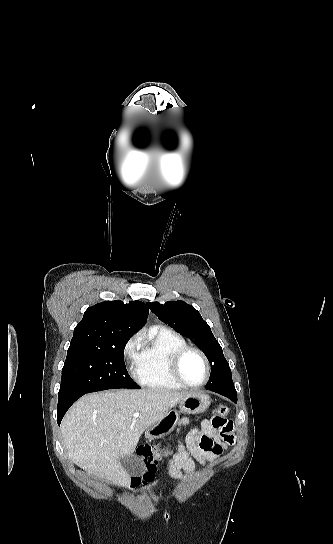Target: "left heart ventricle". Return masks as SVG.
<instances>
[{"label":"left heart ventricle","mask_w":333,"mask_h":544,"mask_svg":"<svg viewBox=\"0 0 333 544\" xmlns=\"http://www.w3.org/2000/svg\"><path fill=\"white\" fill-rule=\"evenodd\" d=\"M181 373L186 382L197 385L204 381L206 367L199 355L190 353L182 362Z\"/></svg>","instance_id":"1"}]
</instances>
